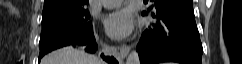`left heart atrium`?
Instances as JSON below:
<instances>
[{"mask_svg": "<svg viewBox=\"0 0 242 64\" xmlns=\"http://www.w3.org/2000/svg\"><path fill=\"white\" fill-rule=\"evenodd\" d=\"M106 30L115 39L125 38L133 30L134 20L130 10L123 8L111 13L106 19Z\"/></svg>", "mask_w": 242, "mask_h": 64, "instance_id": "39dd6f15", "label": "left heart atrium"}]
</instances>
